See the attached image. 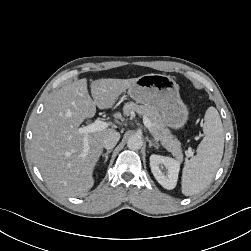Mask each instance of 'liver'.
I'll return each instance as SVG.
<instances>
[{
  "mask_svg": "<svg viewBox=\"0 0 251 251\" xmlns=\"http://www.w3.org/2000/svg\"><path fill=\"white\" fill-rule=\"evenodd\" d=\"M137 78L80 79L61 87L46 103L33 128L32 155L46 183L67 196H82L94 184L93 171L103 152L104 138L114 129L89 133V149L84 152V134L77 132L87 118L99 109L112 108L119 96Z\"/></svg>",
  "mask_w": 251,
  "mask_h": 251,
  "instance_id": "1",
  "label": "liver"
}]
</instances>
